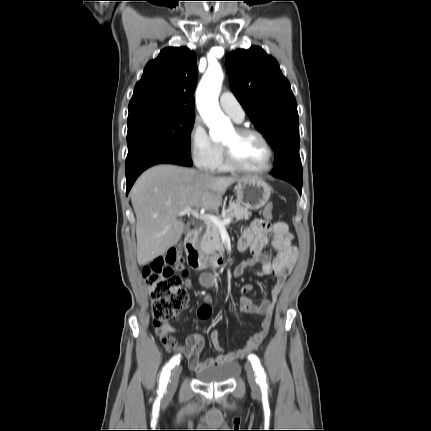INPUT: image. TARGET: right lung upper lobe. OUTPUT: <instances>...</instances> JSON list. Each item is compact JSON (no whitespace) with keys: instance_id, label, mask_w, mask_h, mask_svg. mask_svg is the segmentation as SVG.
<instances>
[{"instance_id":"obj_1","label":"right lung upper lobe","mask_w":431,"mask_h":431,"mask_svg":"<svg viewBox=\"0 0 431 431\" xmlns=\"http://www.w3.org/2000/svg\"><path fill=\"white\" fill-rule=\"evenodd\" d=\"M197 59L187 47H168L147 63L135 85L128 118L146 113L195 115Z\"/></svg>"}]
</instances>
